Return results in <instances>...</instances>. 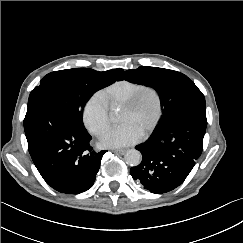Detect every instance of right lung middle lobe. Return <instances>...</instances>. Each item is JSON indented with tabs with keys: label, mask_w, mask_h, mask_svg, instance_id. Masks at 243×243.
Returning <instances> with one entry per match:
<instances>
[{
	"label": "right lung middle lobe",
	"mask_w": 243,
	"mask_h": 243,
	"mask_svg": "<svg viewBox=\"0 0 243 243\" xmlns=\"http://www.w3.org/2000/svg\"><path fill=\"white\" fill-rule=\"evenodd\" d=\"M86 69H66L47 74L31 91L28 105L35 102L54 105L85 129L82 115L86 102L96 91L112 83L111 78Z\"/></svg>",
	"instance_id": "right-lung-middle-lobe-1"
}]
</instances>
